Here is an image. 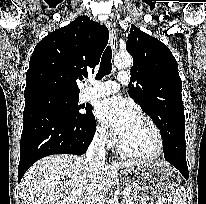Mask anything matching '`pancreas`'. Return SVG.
I'll return each instance as SVG.
<instances>
[{
    "mask_svg": "<svg viewBox=\"0 0 206 204\" xmlns=\"http://www.w3.org/2000/svg\"><path fill=\"white\" fill-rule=\"evenodd\" d=\"M130 193L124 197V204H147L146 201H141L140 197L133 192L131 186H127Z\"/></svg>",
    "mask_w": 206,
    "mask_h": 204,
    "instance_id": "cf45deb5",
    "label": "pancreas"
}]
</instances>
